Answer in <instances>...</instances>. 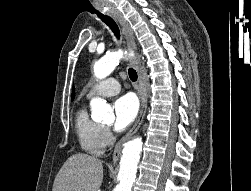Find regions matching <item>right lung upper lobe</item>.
Instances as JSON below:
<instances>
[{"label": "right lung upper lobe", "instance_id": "right-lung-upper-lobe-1", "mask_svg": "<svg viewBox=\"0 0 251 191\" xmlns=\"http://www.w3.org/2000/svg\"><path fill=\"white\" fill-rule=\"evenodd\" d=\"M75 97V91H74V88H73V91H72V100L74 99Z\"/></svg>", "mask_w": 251, "mask_h": 191}]
</instances>
